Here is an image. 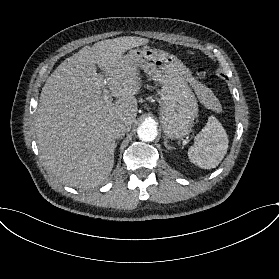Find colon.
Here are the masks:
<instances>
[{
  "instance_id": "obj_1",
  "label": "colon",
  "mask_w": 279,
  "mask_h": 279,
  "mask_svg": "<svg viewBox=\"0 0 279 279\" xmlns=\"http://www.w3.org/2000/svg\"><path fill=\"white\" fill-rule=\"evenodd\" d=\"M196 75L200 79L204 78L206 75V69L203 67H198L196 70Z\"/></svg>"
}]
</instances>
